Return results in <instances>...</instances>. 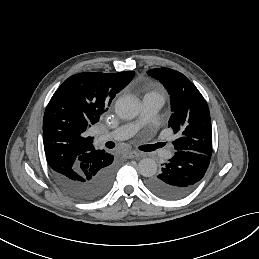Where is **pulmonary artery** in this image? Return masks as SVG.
I'll list each match as a JSON object with an SVG mask.
<instances>
[{
	"mask_svg": "<svg viewBox=\"0 0 259 259\" xmlns=\"http://www.w3.org/2000/svg\"><path fill=\"white\" fill-rule=\"evenodd\" d=\"M165 104V96H149L143 98L141 102V111L138 123L125 124L112 131L109 137L116 140H126L136 132L139 124L153 117ZM102 140V136L98 137V141Z\"/></svg>",
	"mask_w": 259,
	"mask_h": 259,
	"instance_id": "obj_1",
	"label": "pulmonary artery"
}]
</instances>
